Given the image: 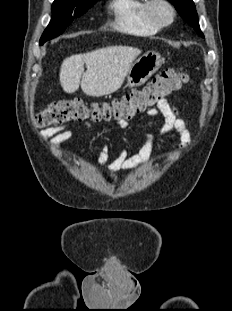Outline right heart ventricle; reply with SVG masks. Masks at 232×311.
Here are the masks:
<instances>
[{
    "mask_svg": "<svg viewBox=\"0 0 232 311\" xmlns=\"http://www.w3.org/2000/svg\"><path fill=\"white\" fill-rule=\"evenodd\" d=\"M147 0H111L108 9L112 15V23L121 32L150 36L159 31L147 18L145 7Z\"/></svg>",
    "mask_w": 232,
    "mask_h": 311,
    "instance_id": "obj_1",
    "label": "right heart ventricle"
}]
</instances>
